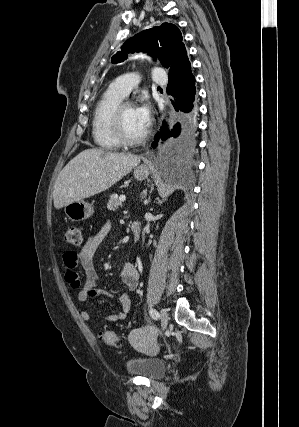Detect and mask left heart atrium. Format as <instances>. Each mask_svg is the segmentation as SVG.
Returning <instances> with one entry per match:
<instances>
[{"instance_id":"39dd6f15","label":"left heart atrium","mask_w":299,"mask_h":427,"mask_svg":"<svg viewBox=\"0 0 299 427\" xmlns=\"http://www.w3.org/2000/svg\"><path fill=\"white\" fill-rule=\"evenodd\" d=\"M135 111L140 123L146 129L150 125L151 121L150 109L148 105L143 104L141 106H138L135 108Z\"/></svg>"}]
</instances>
